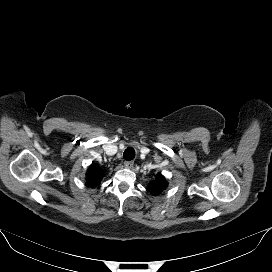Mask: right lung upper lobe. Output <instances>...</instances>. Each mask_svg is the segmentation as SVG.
I'll use <instances>...</instances> for the list:
<instances>
[{"label": "right lung upper lobe", "instance_id": "1", "mask_svg": "<svg viewBox=\"0 0 272 272\" xmlns=\"http://www.w3.org/2000/svg\"><path fill=\"white\" fill-rule=\"evenodd\" d=\"M103 176L104 174L102 170L96 164H92L88 168V171L86 174V180L90 186L96 187L100 184Z\"/></svg>", "mask_w": 272, "mask_h": 272}]
</instances>
